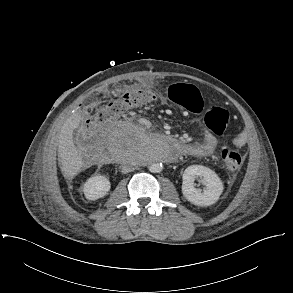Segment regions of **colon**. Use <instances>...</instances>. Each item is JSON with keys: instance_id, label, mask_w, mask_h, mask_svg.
Returning <instances> with one entry per match:
<instances>
[{"instance_id": "1", "label": "colon", "mask_w": 293, "mask_h": 293, "mask_svg": "<svg viewBox=\"0 0 293 293\" xmlns=\"http://www.w3.org/2000/svg\"><path fill=\"white\" fill-rule=\"evenodd\" d=\"M152 92L144 87L129 89L121 98L96 108L89 120L88 128L92 132L99 131L108 121L118 115L124 114L132 109L148 105L152 102ZM171 101L190 112L199 113L203 109V99L199 90L190 84H176L170 93ZM230 121V112L222 107H210L204 116L206 127L215 134L221 135L225 132ZM224 167L236 172L242 165L241 155L229 148L221 152Z\"/></svg>"}]
</instances>
